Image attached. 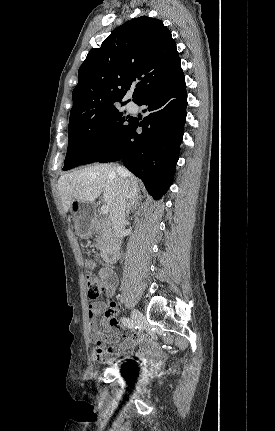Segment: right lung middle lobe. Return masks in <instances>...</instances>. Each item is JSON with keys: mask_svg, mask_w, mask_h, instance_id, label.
Wrapping results in <instances>:
<instances>
[{"mask_svg": "<svg viewBox=\"0 0 275 431\" xmlns=\"http://www.w3.org/2000/svg\"><path fill=\"white\" fill-rule=\"evenodd\" d=\"M132 120L133 117L114 106L69 122L68 149L62 170L98 161L121 138Z\"/></svg>", "mask_w": 275, "mask_h": 431, "instance_id": "dd1d6c3e", "label": "right lung middle lobe"}]
</instances>
